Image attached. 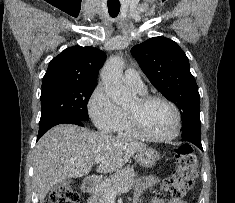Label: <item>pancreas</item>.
I'll return each mask as SVG.
<instances>
[{
  "mask_svg": "<svg viewBox=\"0 0 235 203\" xmlns=\"http://www.w3.org/2000/svg\"><path fill=\"white\" fill-rule=\"evenodd\" d=\"M135 176L136 173L133 168H124L116 172L95 188L89 199V203H110L105 191L107 189L116 191L124 187H131L134 183Z\"/></svg>",
  "mask_w": 235,
  "mask_h": 203,
  "instance_id": "1",
  "label": "pancreas"
}]
</instances>
